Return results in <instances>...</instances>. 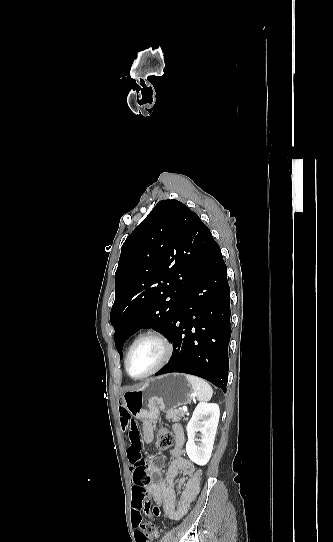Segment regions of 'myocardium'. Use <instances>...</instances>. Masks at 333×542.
Instances as JSON below:
<instances>
[{
    "mask_svg": "<svg viewBox=\"0 0 333 542\" xmlns=\"http://www.w3.org/2000/svg\"><path fill=\"white\" fill-rule=\"evenodd\" d=\"M130 236H132V235H130ZM145 340H155V341H157L162 347V357H161L160 361L158 362V364L153 369H151L150 371H148L147 373H145V374H143L141 376H134L129 372V368H128L129 358H130V355L133 352L134 348L139 343H141L142 341H145ZM172 354H173V346H172L171 342L169 341V339H168V337L166 335H164L163 333L158 332V331H147V332H144L141 335H139L132 342V344L130 345V347H129L127 353H126L125 359H124V368H125L126 373L132 379H136V380L145 379V378L159 372L161 369H163L169 363V361H170V359L172 357Z\"/></svg>",
    "mask_w": 333,
    "mask_h": 542,
    "instance_id": "1",
    "label": "myocardium"
}]
</instances>
